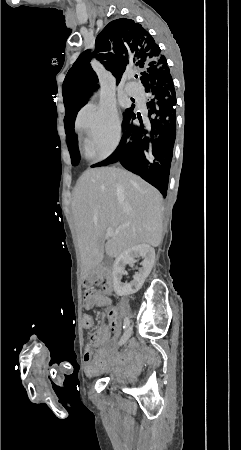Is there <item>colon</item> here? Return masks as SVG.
<instances>
[{
    "mask_svg": "<svg viewBox=\"0 0 241 450\" xmlns=\"http://www.w3.org/2000/svg\"><path fill=\"white\" fill-rule=\"evenodd\" d=\"M110 305L112 307H114L116 304L114 302H112ZM110 312L113 314L115 311L112 309ZM79 325L83 326L85 328H92L93 327V316L81 314L79 316Z\"/></svg>",
    "mask_w": 241,
    "mask_h": 450,
    "instance_id": "1",
    "label": "colon"
}]
</instances>
